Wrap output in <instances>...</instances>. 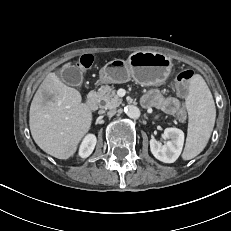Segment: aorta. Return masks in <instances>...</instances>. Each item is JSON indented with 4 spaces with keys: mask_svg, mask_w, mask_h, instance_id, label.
I'll use <instances>...</instances> for the list:
<instances>
[{
    "mask_svg": "<svg viewBox=\"0 0 231 231\" xmlns=\"http://www.w3.org/2000/svg\"><path fill=\"white\" fill-rule=\"evenodd\" d=\"M125 113L132 119H138L140 117V110L134 105H128L124 108Z\"/></svg>",
    "mask_w": 231,
    "mask_h": 231,
    "instance_id": "1",
    "label": "aorta"
}]
</instances>
